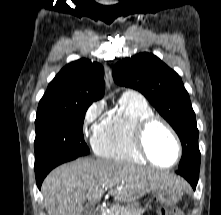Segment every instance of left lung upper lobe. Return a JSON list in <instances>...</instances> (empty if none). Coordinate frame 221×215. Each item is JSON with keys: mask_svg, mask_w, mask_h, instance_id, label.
<instances>
[{"mask_svg": "<svg viewBox=\"0 0 221 215\" xmlns=\"http://www.w3.org/2000/svg\"><path fill=\"white\" fill-rule=\"evenodd\" d=\"M112 74L118 85L141 92L176 131L183 147L178 171L199 172V132L180 76L149 53L123 59L113 67Z\"/></svg>", "mask_w": 221, "mask_h": 215, "instance_id": "5c2ea615", "label": "left lung upper lobe"}]
</instances>
